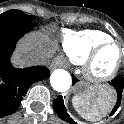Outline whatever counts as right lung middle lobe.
Instances as JSON below:
<instances>
[{
  "label": "right lung middle lobe",
  "mask_w": 124,
  "mask_h": 124,
  "mask_svg": "<svg viewBox=\"0 0 124 124\" xmlns=\"http://www.w3.org/2000/svg\"><path fill=\"white\" fill-rule=\"evenodd\" d=\"M34 20V16L24 14L19 10H9L0 14V23H28Z\"/></svg>",
  "instance_id": "dd1d6c3e"
}]
</instances>
